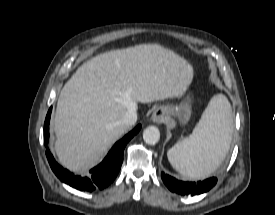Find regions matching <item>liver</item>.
<instances>
[{"mask_svg":"<svg viewBox=\"0 0 275 215\" xmlns=\"http://www.w3.org/2000/svg\"><path fill=\"white\" fill-rule=\"evenodd\" d=\"M192 66L158 44L99 54L84 63L61 90L55 118V152L66 168L81 172L128 131L120 123L137 103L182 97Z\"/></svg>","mask_w":275,"mask_h":215,"instance_id":"liver-1","label":"liver"}]
</instances>
